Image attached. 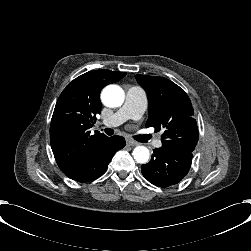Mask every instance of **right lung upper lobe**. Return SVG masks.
Listing matches in <instances>:
<instances>
[{"label":"right lung upper lobe","mask_w":251,"mask_h":251,"mask_svg":"<svg viewBox=\"0 0 251 251\" xmlns=\"http://www.w3.org/2000/svg\"><path fill=\"white\" fill-rule=\"evenodd\" d=\"M126 73L109 70L89 71L75 78L63 90L50 124V143L56 162L66 173L87 161L107 136L89 128L101 112L100 92Z\"/></svg>","instance_id":"right-lung-upper-lobe-1"}]
</instances>
